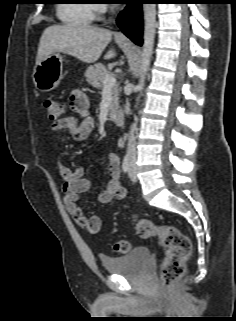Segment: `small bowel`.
Returning a JSON list of instances; mask_svg holds the SVG:
<instances>
[{"mask_svg":"<svg viewBox=\"0 0 236 321\" xmlns=\"http://www.w3.org/2000/svg\"><path fill=\"white\" fill-rule=\"evenodd\" d=\"M69 102L73 114L54 121L51 128L54 132H67L76 141H84L90 137L94 128V121L88 113V96L81 91H75L70 95ZM106 161L109 176L98 199L102 203H108L113 199L123 200L126 191L120 181L119 156L116 153H109ZM58 168L63 181L62 191L66 210L77 225L91 233L98 232L102 226V219L96 215L87 216L78 204L80 195L91 188L92 182L84 178V170L80 167L71 169L59 159Z\"/></svg>","mask_w":236,"mask_h":321,"instance_id":"obj_1","label":"small bowel"}]
</instances>
